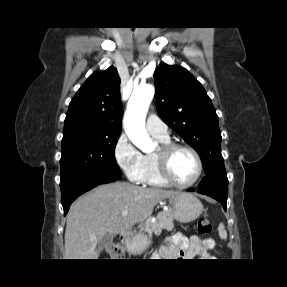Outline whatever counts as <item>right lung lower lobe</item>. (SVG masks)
Returning a JSON list of instances; mask_svg holds the SVG:
<instances>
[{
    "instance_id": "obj_1",
    "label": "right lung lower lobe",
    "mask_w": 287,
    "mask_h": 287,
    "mask_svg": "<svg viewBox=\"0 0 287 287\" xmlns=\"http://www.w3.org/2000/svg\"><path fill=\"white\" fill-rule=\"evenodd\" d=\"M119 177L108 176L104 174L85 173L70 177L60 182L61 202L64 208V214L69 210L71 203L81 194L100 184L114 182Z\"/></svg>"
}]
</instances>
